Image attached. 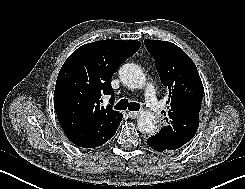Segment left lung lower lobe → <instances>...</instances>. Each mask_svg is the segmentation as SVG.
I'll return each mask as SVG.
<instances>
[{
    "instance_id": "obj_1",
    "label": "left lung lower lobe",
    "mask_w": 245,
    "mask_h": 189,
    "mask_svg": "<svg viewBox=\"0 0 245 189\" xmlns=\"http://www.w3.org/2000/svg\"><path fill=\"white\" fill-rule=\"evenodd\" d=\"M147 144L158 152H171L176 150L174 145L168 143L158 133L151 135L147 140Z\"/></svg>"
}]
</instances>
